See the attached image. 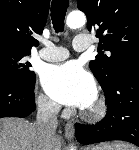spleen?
Returning a JSON list of instances; mask_svg holds the SVG:
<instances>
[{
  "instance_id": "3e777b00",
  "label": "spleen",
  "mask_w": 139,
  "mask_h": 150,
  "mask_svg": "<svg viewBox=\"0 0 139 150\" xmlns=\"http://www.w3.org/2000/svg\"><path fill=\"white\" fill-rule=\"evenodd\" d=\"M113 150H135L133 147L124 143H114L112 144Z\"/></svg>"
}]
</instances>
